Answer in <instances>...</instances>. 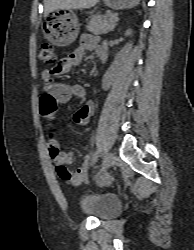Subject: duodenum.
Returning a JSON list of instances; mask_svg holds the SVG:
<instances>
[{"mask_svg": "<svg viewBox=\"0 0 194 250\" xmlns=\"http://www.w3.org/2000/svg\"><path fill=\"white\" fill-rule=\"evenodd\" d=\"M106 59H107V55L102 54V55L100 56V60H101L102 62H105Z\"/></svg>", "mask_w": 194, "mask_h": 250, "instance_id": "1", "label": "duodenum"}]
</instances>
